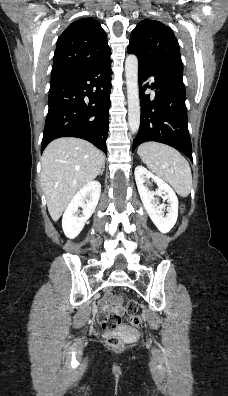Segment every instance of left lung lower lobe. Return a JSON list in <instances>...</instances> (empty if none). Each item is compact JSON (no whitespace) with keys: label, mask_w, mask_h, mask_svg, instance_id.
Returning <instances> with one entry per match:
<instances>
[{"label":"left lung lower lobe","mask_w":228,"mask_h":396,"mask_svg":"<svg viewBox=\"0 0 228 396\" xmlns=\"http://www.w3.org/2000/svg\"><path fill=\"white\" fill-rule=\"evenodd\" d=\"M140 128L133 141V151L144 142L164 143L181 151L192 160V146L187 126L183 75L175 71L153 68L139 63ZM149 76L155 81L143 85ZM146 87L155 89V97L145 95Z\"/></svg>","instance_id":"0a47b994"}]
</instances>
